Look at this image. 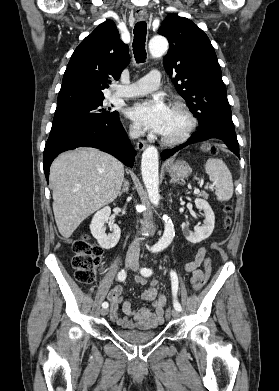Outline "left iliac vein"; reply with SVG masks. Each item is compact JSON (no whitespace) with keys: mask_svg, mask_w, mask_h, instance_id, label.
<instances>
[{"mask_svg":"<svg viewBox=\"0 0 279 391\" xmlns=\"http://www.w3.org/2000/svg\"><path fill=\"white\" fill-rule=\"evenodd\" d=\"M131 269H132L133 271H137V270L139 269L138 263L135 262V264H134L133 266H131ZM172 316H173L174 318H178V317L180 316V312H179L178 310L174 309V310H172Z\"/></svg>","mask_w":279,"mask_h":391,"instance_id":"left-iliac-vein-1","label":"left iliac vein"}]
</instances>
